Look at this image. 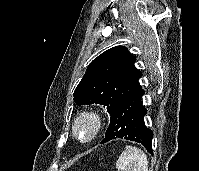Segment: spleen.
Returning <instances> with one entry per match:
<instances>
[{
  "label": "spleen",
  "mask_w": 199,
  "mask_h": 171,
  "mask_svg": "<svg viewBox=\"0 0 199 171\" xmlns=\"http://www.w3.org/2000/svg\"><path fill=\"white\" fill-rule=\"evenodd\" d=\"M118 171H148V160L145 153L130 145L120 154L116 161Z\"/></svg>",
  "instance_id": "3e777b00"
}]
</instances>
